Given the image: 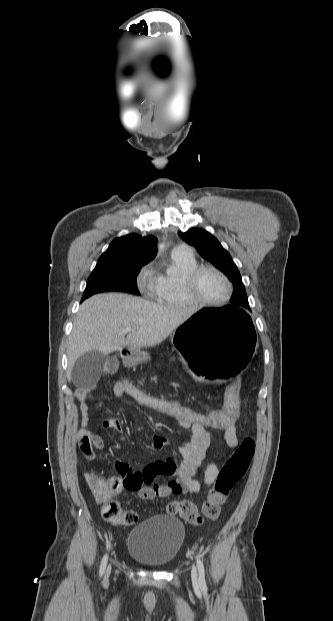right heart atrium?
Masks as SVG:
<instances>
[{
    "mask_svg": "<svg viewBox=\"0 0 333 621\" xmlns=\"http://www.w3.org/2000/svg\"><path fill=\"white\" fill-rule=\"evenodd\" d=\"M138 286L142 291L152 293L155 286V277L148 267L143 269L140 273L138 277Z\"/></svg>",
    "mask_w": 333,
    "mask_h": 621,
    "instance_id": "obj_1",
    "label": "right heart atrium"
}]
</instances>
